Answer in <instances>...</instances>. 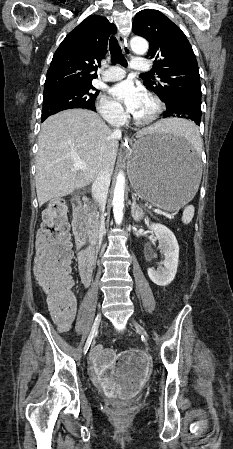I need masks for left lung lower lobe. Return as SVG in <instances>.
I'll use <instances>...</instances> for the list:
<instances>
[{
  "label": "left lung lower lobe",
  "mask_w": 233,
  "mask_h": 449,
  "mask_svg": "<svg viewBox=\"0 0 233 449\" xmlns=\"http://www.w3.org/2000/svg\"><path fill=\"white\" fill-rule=\"evenodd\" d=\"M163 117H179L194 121L200 126L201 121V108L195 107L186 103H175L170 107H167Z\"/></svg>",
  "instance_id": "0a47b994"
}]
</instances>
